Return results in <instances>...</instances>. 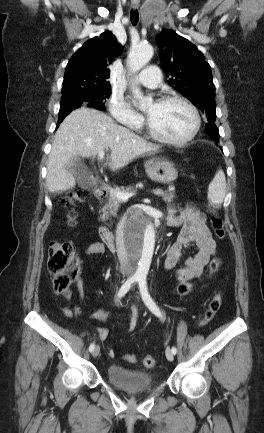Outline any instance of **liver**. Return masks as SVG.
<instances>
[{"label":"liver","mask_w":264,"mask_h":433,"mask_svg":"<svg viewBox=\"0 0 264 433\" xmlns=\"http://www.w3.org/2000/svg\"><path fill=\"white\" fill-rule=\"evenodd\" d=\"M159 148L96 109L74 110L55 133L47 165L48 190L56 193L75 187L76 179L67 169L75 157H94L110 149L108 166L115 171L139 156L157 153Z\"/></svg>","instance_id":"obj_1"}]
</instances>
